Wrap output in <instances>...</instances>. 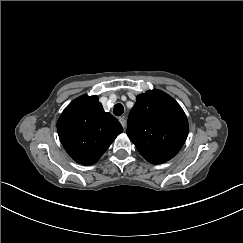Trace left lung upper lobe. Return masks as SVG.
Listing matches in <instances>:
<instances>
[{
  "instance_id": "left-lung-upper-lobe-1",
  "label": "left lung upper lobe",
  "mask_w": 243,
  "mask_h": 243,
  "mask_svg": "<svg viewBox=\"0 0 243 243\" xmlns=\"http://www.w3.org/2000/svg\"><path fill=\"white\" fill-rule=\"evenodd\" d=\"M127 135L152 164L173 158L188 135L187 117L180 105L160 90L137 97L127 121Z\"/></svg>"
}]
</instances>
